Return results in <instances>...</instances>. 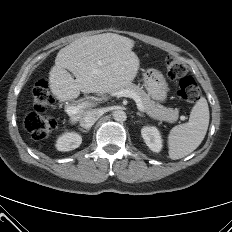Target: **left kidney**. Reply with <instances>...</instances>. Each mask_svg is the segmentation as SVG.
I'll use <instances>...</instances> for the list:
<instances>
[{
    "instance_id": "1",
    "label": "left kidney",
    "mask_w": 232,
    "mask_h": 232,
    "mask_svg": "<svg viewBox=\"0 0 232 232\" xmlns=\"http://www.w3.org/2000/svg\"><path fill=\"white\" fill-rule=\"evenodd\" d=\"M141 135L146 145L153 152H160L162 149V138L160 131L154 126H145L141 130Z\"/></svg>"
}]
</instances>
